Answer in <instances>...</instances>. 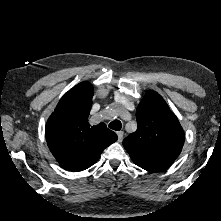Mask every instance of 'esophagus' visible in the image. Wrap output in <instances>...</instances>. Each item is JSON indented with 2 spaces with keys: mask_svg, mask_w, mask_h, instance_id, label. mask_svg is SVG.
Here are the masks:
<instances>
[{
  "mask_svg": "<svg viewBox=\"0 0 221 221\" xmlns=\"http://www.w3.org/2000/svg\"><path fill=\"white\" fill-rule=\"evenodd\" d=\"M117 135H118V141H119V142H122L123 136H124V132H123V131H118V132H117Z\"/></svg>",
  "mask_w": 221,
  "mask_h": 221,
  "instance_id": "1",
  "label": "esophagus"
}]
</instances>
